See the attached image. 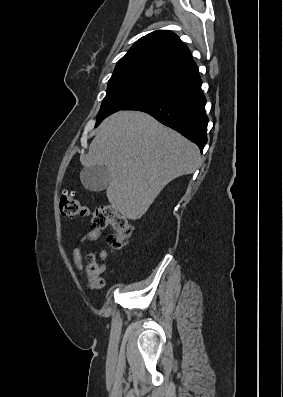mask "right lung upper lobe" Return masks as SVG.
<instances>
[{"instance_id": "cb5924a9", "label": "right lung upper lobe", "mask_w": 283, "mask_h": 397, "mask_svg": "<svg viewBox=\"0 0 283 397\" xmlns=\"http://www.w3.org/2000/svg\"><path fill=\"white\" fill-rule=\"evenodd\" d=\"M143 72L170 83L198 72L188 47L176 34L157 30L140 38L116 64L113 74Z\"/></svg>"}]
</instances>
